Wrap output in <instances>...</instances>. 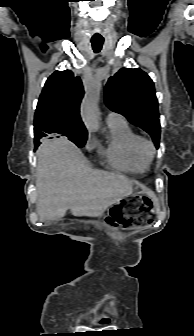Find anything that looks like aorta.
<instances>
[{
  "mask_svg": "<svg viewBox=\"0 0 194 336\" xmlns=\"http://www.w3.org/2000/svg\"><path fill=\"white\" fill-rule=\"evenodd\" d=\"M101 86L98 82H91L81 104V117L86 127L91 131H97L100 126V114L98 101Z\"/></svg>",
  "mask_w": 194,
  "mask_h": 336,
  "instance_id": "obj_1",
  "label": "aorta"
}]
</instances>
